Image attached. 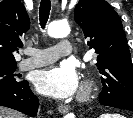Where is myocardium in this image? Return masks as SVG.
<instances>
[{
    "label": "myocardium",
    "instance_id": "f54148a6",
    "mask_svg": "<svg viewBox=\"0 0 133 118\" xmlns=\"http://www.w3.org/2000/svg\"><path fill=\"white\" fill-rule=\"evenodd\" d=\"M94 92V86L91 82H86L80 92L79 99L81 101L88 100Z\"/></svg>",
    "mask_w": 133,
    "mask_h": 118
}]
</instances>
